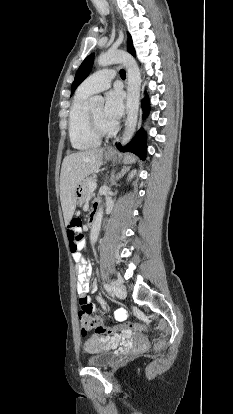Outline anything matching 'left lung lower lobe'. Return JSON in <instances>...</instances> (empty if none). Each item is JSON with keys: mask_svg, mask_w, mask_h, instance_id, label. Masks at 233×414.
I'll use <instances>...</instances> for the list:
<instances>
[{"mask_svg": "<svg viewBox=\"0 0 233 414\" xmlns=\"http://www.w3.org/2000/svg\"><path fill=\"white\" fill-rule=\"evenodd\" d=\"M142 108H143L144 116H146L149 111V101L147 97H145L142 101ZM117 148L120 151L132 152L136 154L138 157H140V159L145 160L146 149H147L145 131L141 129L128 145L122 148L121 145L118 144Z\"/></svg>", "mask_w": 233, "mask_h": 414, "instance_id": "obj_1", "label": "left lung lower lobe"}]
</instances>
